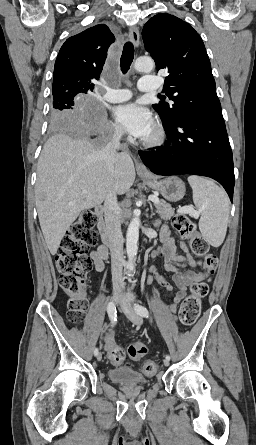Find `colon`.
<instances>
[{
    "label": "colon",
    "instance_id": "colon-1",
    "mask_svg": "<svg viewBox=\"0 0 256 445\" xmlns=\"http://www.w3.org/2000/svg\"><path fill=\"white\" fill-rule=\"evenodd\" d=\"M97 221L96 213L92 209L83 211L68 229L60 242L56 254V266L59 272L58 283L68 297L67 317L72 322L80 321L86 310L85 297L87 275L91 271L92 263L87 252L96 241L94 230ZM175 231L184 239L189 240L192 253L201 259L202 280L191 286L190 294L184 299L179 309V321L182 325H192L201 309V300L208 294L209 281L217 267V257L210 252V246L201 236L197 227L184 214H176L172 219ZM147 352L143 344H131L127 353L134 360H140ZM108 355L113 363H121L125 353L122 348L113 345L108 349ZM158 366L154 361L143 364V373L153 376Z\"/></svg>",
    "mask_w": 256,
    "mask_h": 445
}]
</instances>
